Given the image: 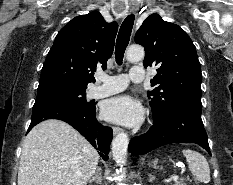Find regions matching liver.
Listing matches in <instances>:
<instances>
[{
  "label": "liver",
  "instance_id": "1",
  "mask_svg": "<svg viewBox=\"0 0 233 185\" xmlns=\"http://www.w3.org/2000/svg\"><path fill=\"white\" fill-rule=\"evenodd\" d=\"M98 161V152L69 124L46 120L23 141L18 185H86Z\"/></svg>",
  "mask_w": 233,
  "mask_h": 185
}]
</instances>
